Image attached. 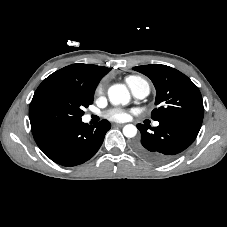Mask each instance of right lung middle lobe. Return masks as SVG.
Here are the masks:
<instances>
[{"label":"right lung middle lobe","instance_id":"obj_1","mask_svg":"<svg viewBox=\"0 0 227 227\" xmlns=\"http://www.w3.org/2000/svg\"><path fill=\"white\" fill-rule=\"evenodd\" d=\"M94 92L47 77L37 88L30 103L31 129L81 120L83 109L93 103Z\"/></svg>","mask_w":227,"mask_h":227}]
</instances>
